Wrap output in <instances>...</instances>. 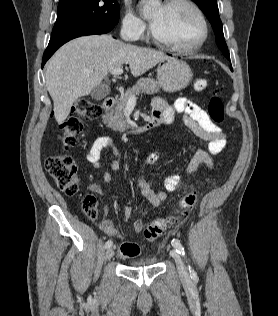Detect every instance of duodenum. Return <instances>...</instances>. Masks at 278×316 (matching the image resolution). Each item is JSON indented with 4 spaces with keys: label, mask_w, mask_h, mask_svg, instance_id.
I'll list each match as a JSON object with an SVG mask.
<instances>
[{
    "label": "duodenum",
    "mask_w": 278,
    "mask_h": 316,
    "mask_svg": "<svg viewBox=\"0 0 278 316\" xmlns=\"http://www.w3.org/2000/svg\"><path fill=\"white\" fill-rule=\"evenodd\" d=\"M115 105V99L113 97H107L103 100L102 102V109L104 111H108L110 110L113 106ZM159 123V119L156 115H153L152 119L145 125L143 126H139V127H135V128H132L130 130V132H133V133H142V132H145L153 127H155L157 124Z\"/></svg>",
    "instance_id": "410a0bca"
}]
</instances>
